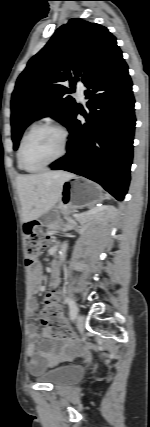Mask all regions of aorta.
<instances>
[{
  "instance_id": "aorta-1",
  "label": "aorta",
  "mask_w": 150,
  "mask_h": 427,
  "mask_svg": "<svg viewBox=\"0 0 150 427\" xmlns=\"http://www.w3.org/2000/svg\"><path fill=\"white\" fill-rule=\"evenodd\" d=\"M68 249V243L64 242L61 246V255H60V261L62 262L65 258L66 252Z\"/></svg>"
}]
</instances>
